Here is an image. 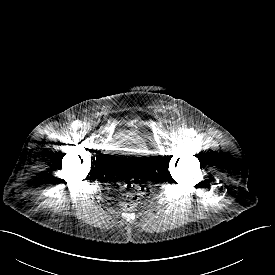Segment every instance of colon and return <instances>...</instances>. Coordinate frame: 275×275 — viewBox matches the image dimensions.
Segmentation results:
<instances>
[{"instance_id":"1","label":"colon","mask_w":275,"mask_h":275,"mask_svg":"<svg viewBox=\"0 0 275 275\" xmlns=\"http://www.w3.org/2000/svg\"><path fill=\"white\" fill-rule=\"evenodd\" d=\"M145 193L144 186L137 179H129L123 184L121 206L125 210H133L140 197Z\"/></svg>"}]
</instances>
